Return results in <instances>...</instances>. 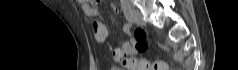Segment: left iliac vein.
Listing matches in <instances>:
<instances>
[{"instance_id": "1", "label": "left iliac vein", "mask_w": 238, "mask_h": 70, "mask_svg": "<svg viewBox=\"0 0 238 70\" xmlns=\"http://www.w3.org/2000/svg\"><path fill=\"white\" fill-rule=\"evenodd\" d=\"M132 19L134 21V23L138 24V25H144V21H143V15L142 13L136 9L133 8L132 9Z\"/></svg>"}]
</instances>
